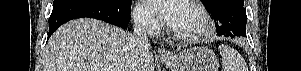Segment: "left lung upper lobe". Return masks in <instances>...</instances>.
<instances>
[{"label":"left lung upper lobe","mask_w":301,"mask_h":71,"mask_svg":"<svg viewBox=\"0 0 301 71\" xmlns=\"http://www.w3.org/2000/svg\"><path fill=\"white\" fill-rule=\"evenodd\" d=\"M205 6L208 8L211 15L215 14L217 10L222 7L223 5L229 3H235L239 5H244L243 0H201Z\"/></svg>","instance_id":"left-lung-upper-lobe-1"}]
</instances>
